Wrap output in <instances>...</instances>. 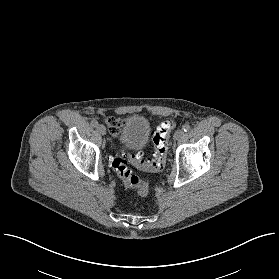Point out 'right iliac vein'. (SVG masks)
<instances>
[{
  "label": "right iliac vein",
  "instance_id": "obj_1",
  "mask_svg": "<svg viewBox=\"0 0 279 279\" xmlns=\"http://www.w3.org/2000/svg\"><path fill=\"white\" fill-rule=\"evenodd\" d=\"M98 132L101 134V135H105L106 134V129L103 125L99 124L96 126Z\"/></svg>",
  "mask_w": 279,
  "mask_h": 279
}]
</instances>
